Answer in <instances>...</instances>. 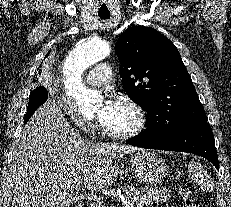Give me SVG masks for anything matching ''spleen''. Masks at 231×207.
Segmentation results:
<instances>
[{
  "mask_svg": "<svg viewBox=\"0 0 231 207\" xmlns=\"http://www.w3.org/2000/svg\"><path fill=\"white\" fill-rule=\"evenodd\" d=\"M189 173L197 184H203L202 166L198 162H191L188 165Z\"/></svg>",
  "mask_w": 231,
  "mask_h": 207,
  "instance_id": "spleen-1",
  "label": "spleen"
}]
</instances>
